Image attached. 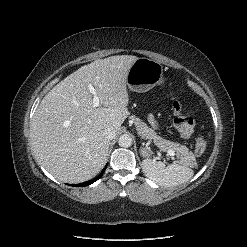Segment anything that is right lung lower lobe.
Masks as SVG:
<instances>
[{
    "instance_id": "98d812e1",
    "label": "right lung lower lobe",
    "mask_w": 247,
    "mask_h": 247,
    "mask_svg": "<svg viewBox=\"0 0 247 247\" xmlns=\"http://www.w3.org/2000/svg\"><path fill=\"white\" fill-rule=\"evenodd\" d=\"M107 167V165L105 166V168ZM105 168L102 170V172L99 174L98 177H96L95 179L93 180H90V181H86V182H83V183H80V184H75L74 186L75 187H84V186H87V185H90L92 183H94L95 181H97L104 173L105 171Z\"/></svg>"
}]
</instances>
